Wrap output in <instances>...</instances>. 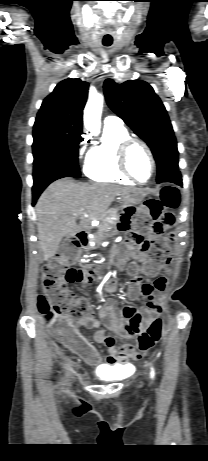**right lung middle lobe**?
<instances>
[{
	"instance_id": "1",
	"label": "right lung middle lobe",
	"mask_w": 208,
	"mask_h": 461,
	"mask_svg": "<svg viewBox=\"0 0 208 461\" xmlns=\"http://www.w3.org/2000/svg\"><path fill=\"white\" fill-rule=\"evenodd\" d=\"M33 128L34 181L54 172L79 178L78 144L82 131L50 120H36Z\"/></svg>"
}]
</instances>
